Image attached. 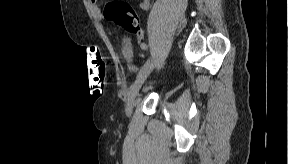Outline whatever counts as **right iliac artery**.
I'll return each instance as SVG.
<instances>
[{
  "mask_svg": "<svg viewBox=\"0 0 288 164\" xmlns=\"http://www.w3.org/2000/svg\"><path fill=\"white\" fill-rule=\"evenodd\" d=\"M140 47H141L143 50H146V49H147V44H146V43H141Z\"/></svg>",
  "mask_w": 288,
  "mask_h": 164,
  "instance_id": "obj_1",
  "label": "right iliac artery"
}]
</instances>
